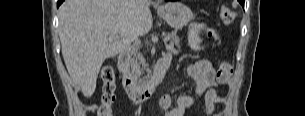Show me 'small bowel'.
<instances>
[{
  "instance_id": "small-bowel-1",
  "label": "small bowel",
  "mask_w": 305,
  "mask_h": 116,
  "mask_svg": "<svg viewBox=\"0 0 305 116\" xmlns=\"http://www.w3.org/2000/svg\"><path fill=\"white\" fill-rule=\"evenodd\" d=\"M165 56H168L166 54ZM188 74L196 82L194 96L179 95L176 98L165 95L160 99V107L165 116H186L196 101L203 97L207 116H212L215 106L224 101V98L217 95L215 72L212 64L207 60H200L187 67ZM218 116V114H214Z\"/></svg>"
}]
</instances>
